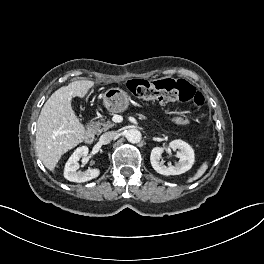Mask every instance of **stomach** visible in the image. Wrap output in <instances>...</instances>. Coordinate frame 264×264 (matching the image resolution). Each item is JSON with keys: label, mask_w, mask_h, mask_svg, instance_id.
<instances>
[{"label": "stomach", "mask_w": 264, "mask_h": 264, "mask_svg": "<svg viewBox=\"0 0 264 264\" xmlns=\"http://www.w3.org/2000/svg\"><path fill=\"white\" fill-rule=\"evenodd\" d=\"M102 98L106 109L114 113L125 111L130 103L129 95L119 87L107 89Z\"/></svg>", "instance_id": "0dacf381"}]
</instances>
